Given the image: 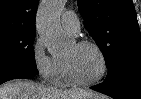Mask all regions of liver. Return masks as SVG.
<instances>
[{"mask_svg":"<svg viewBox=\"0 0 141 99\" xmlns=\"http://www.w3.org/2000/svg\"><path fill=\"white\" fill-rule=\"evenodd\" d=\"M0 99H104L93 91H61L30 80H12L0 86Z\"/></svg>","mask_w":141,"mask_h":99,"instance_id":"6515ba94","label":"liver"}]
</instances>
